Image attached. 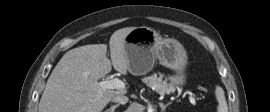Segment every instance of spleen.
Segmentation results:
<instances>
[{"label": "spleen", "mask_w": 270, "mask_h": 112, "mask_svg": "<svg viewBox=\"0 0 270 112\" xmlns=\"http://www.w3.org/2000/svg\"><path fill=\"white\" fill-rule=\"evenodd\" d=\"M217 100H218V106H217V112H228V106L225 99L224 90L222 87L217 86L215 90Z\"/></svg>", "instance_id": "spleen-1"}]
</instances>
